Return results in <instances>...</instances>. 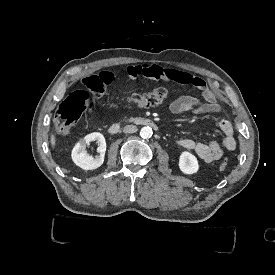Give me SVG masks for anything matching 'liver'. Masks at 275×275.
Returning <instances> with one entry per match:
<instances>
[{"instance_id":"1","label":"liver","mask_w":275,"mask_h":275,"mask_svg":"<svg viewBox=\"0 0 275 275\" xmlns=\"http://www.w3.org/2000/svg\"><path fill=\"white\" fill-rule=\"evenodd\" d=\"M50 142H51L52 147L54 148L55 144H56V139H55V136L53 134L50 137Z\"/></svg>"}]
</instances>
